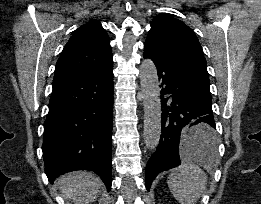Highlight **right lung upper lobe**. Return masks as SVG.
Instances as JSON below:
<instances>
[{
    "mask_svg": "<svg viewBox=\"0 0 261 204\" xmlns=\"http://www.w3.org/2000/svg\"><path fill=\"white\" fill-rule=\"evenodd\" d=\"M112 62L109 37L100 22L79 27L65 45L53 82L97 71Z\"/></svg>",
    "mask_w": 261,
    "mask_h": 204,
    "instance_id": "1",
    "label": "right lung upper lobe"
}]
</instances>
